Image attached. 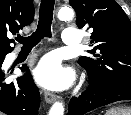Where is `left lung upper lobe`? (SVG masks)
I'll use <instances>...</instances> for the list:
<instances>
[{
  "mask_svg": "<svg viewBox=\"0 0 131 115\" xmlns=\"http://www.w3.org/2000/svg\"><path fill=\"white\" fill-rule=\"evenodd\" d=\"M79 28L93 29L90 44L96 59L82 56L93 83L131 86V22L114 0H70Z\"/></svg>",
  "mask_w": 131,
  "mask_h": 115,
  "instance_id": "left-lung-upper-lobe-1",
  "label": "left lung upper lobe"
}]
</instances>
